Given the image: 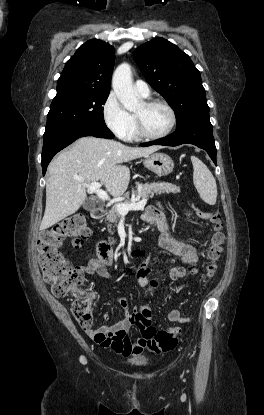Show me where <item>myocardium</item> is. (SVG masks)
Segmentation results:
<instances>
[{
  "label": "myocardium",
  "mask_w": 264,
  "mask_h": 415,
  "mask_svg": "<svg viewBox=\"0 0 264 415\" xmlns=\"http://www.w3.org/2000/svg\"><path fill=\"white\" fill-rule=\"evenodd\" d=\"M145 106L152 107L156 105L163 106L170 114V124L168 128L156 135L149 134L145 131L142 120L140 117L134 114V120H135V130L139 138L146 139V140H159L167 137L174 129L176 122H177V115L173 107L166 101L162 99H151L144 102Z\"/></svg>",
  "instance_id": "f54148a6"
}]
</instances>
